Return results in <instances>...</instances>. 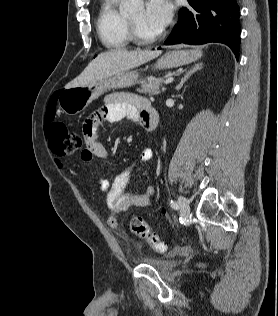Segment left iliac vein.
Returning a JSON list of instances; mask_svg holds the SVG:
<instances>
[{
	"label": "left iliac vein",
	"instance_id": "4c4485c4",
	"mask_svg": "<svg viewBox=\"0 0 278 316\" xmlns=\"http://www.w3.org/2000/svg\"><path fill=\"white\" fill-rule=\"evenodd\" d=\"M178 206H179L181 218L187 219L189 217V214H190V207H189L188 200L185 197L180 196L178 198Z\"/></svg>",
	"mask_w": 278,
	"mask_h": 316
}]
</instances>
